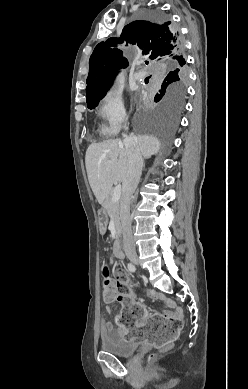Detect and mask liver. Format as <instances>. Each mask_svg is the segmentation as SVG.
<instances>
[{"mask_svg": "<svg viewBox=\"0 0 248 389\" xmlns=\"http://www.w3.org/2000/svg\"><path fill=\"white\" fill-rule=\"evenodd\" d=\"M144 158L158 153L160 141L149 135L134 137ZM85 165L90 187L100 204L108 197L115 182L123 181L128 171V153L121 139L89 145Z\"/></svg>", "mask_w": 248, "mask_h": 389, "instance_id": "1", "label": "liver"}]
</instances>
